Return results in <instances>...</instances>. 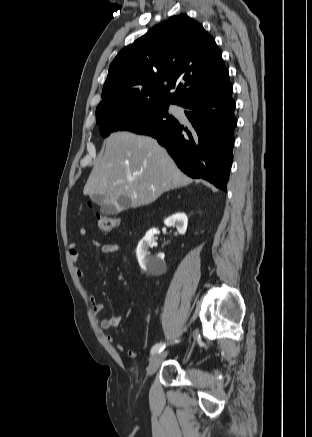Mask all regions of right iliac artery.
<instances>
[{
    "label": "right iliac artery",
    "instance_id": "82829eb1",
    "mask_svg": "<svg viewBox=\"0 0 312 437\" xmlns=\"http://www.w3.org/2000/svg\"><path fill=\"white\" fill-rule=\"evenodd\" d=\"M165 348V343H157L155 344L151 349V355H154L155 353L161 352Z\"/></svg>",
    "mask_w": 312,
    "mask_h": 437
}]
</instances>
